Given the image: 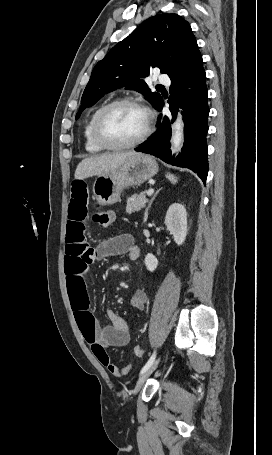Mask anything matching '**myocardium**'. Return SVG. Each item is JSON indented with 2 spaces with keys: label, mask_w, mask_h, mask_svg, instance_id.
Wrapping results in <instances>:
<instances>
[{
  "label": "myocardium",
  "mask_w": 272,
  "mask_h": 455,
  "mask_svg": "<svg viewBox=\"0 0 272 455\" xmlns=\"http://www.w3.org/2000/svg\"><path fill=\"white\" fill-rule=\"evenodd\" d=\"M121 105H130L133 107H136L140 109L144 115H145V127L141 135L128 143H122V144H116L108 141L105 139V137L102 135L101 132V121L104 117V115L111 110L114 107L121 106ZM152 129V117L151 113L149 110L138 100L131 98V97H123V98H117L115 100H112L111 102L105 104L99 110L96 112L92 125H91V134L94 142L100 146L101 148L105 150H126V149H131L139 146L142 144L150 135Z\"/></svg>",
  "instance_id": "f54148a6"
}]
</instances>
